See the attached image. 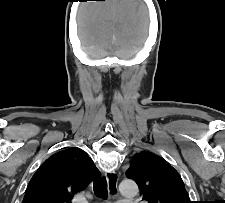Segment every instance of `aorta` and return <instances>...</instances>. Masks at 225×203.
Returning a JSON list of instances; mask_svg holds the SVG:
<instances>
[{
  "label": "aorta",
  "instance_id": "obj_1",
  "mask_svg": "<svg viewBox=\"0 0 225 203\" xmlns=\"http://www.w3.org/2000/svg\"><path fill=\"white\" fill-rule=\"evenodd\" d=\"M119 191L123 196H134L138 193V187L133 180H123L119 184Z\"/></svg>",
  "mask_w": 225,
  "mask_h": 203
}]
</instances>
